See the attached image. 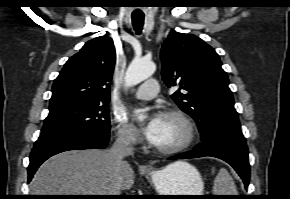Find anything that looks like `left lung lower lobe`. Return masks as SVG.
<instances>
[{"instance_id": "left-lung-lower-lobe-1", "label": "left lung lower lobe", "mask_w": 290, "mask_h": 199, "mask_svg": "<svg viewBox=\"0 0 290 199\" xmlns=\"http://www.w3.org/2000/svg\"><path fill=\"white\" fill-rule=\"evenodd\" d=\"M211 156L229 163L242 178L245 187L249 185L250 164L248 148L242 131L215 130L202 137V143L193 152H187L173 159Z\"/></svg>"}]
</instances>
